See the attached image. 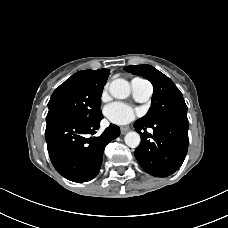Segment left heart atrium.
<instances>
[{
	"mask_svg": "<svg viewBox=\"0 0 228 228\" xmlns=\"http://www.w3.org/2000/svg\"><path fill=\"white\" fill-rule=\"evenodd\" d=\"M105 114L111 122L124 125L133 121L140 112L124 103L114 102L105 107Z\"/></svg>",
	"mask_w": 228,
	"mask_h": 228,
	"instance_id": "1",
	"label": "left heart atrium"
}]
</instances>
